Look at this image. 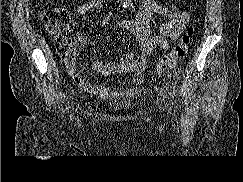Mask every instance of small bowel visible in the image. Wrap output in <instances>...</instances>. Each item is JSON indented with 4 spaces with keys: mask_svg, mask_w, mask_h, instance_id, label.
Here are the masks:
<instances>
[{
    "mask_svg": "<svg viewBox=\"0 0 243 182\" xmlns=\"http://www.w3.org/2000/svg\"><path fill=\"white\" fill-rule=\"evenodd\" d=\"M101 8V0H87L77 7L80 15H87ZM168 16L169 19L162 22L158 27V33L152 31L150 20L153 15ZM189 14L187 12H178L167 6L161 5L156 0H144L139 8L134 20H121L118 26L131 32L137 39L140 47L138 55L129 52L119 61L103 63L95 60L92 64L94 70L104 76L114 74H131L132 86L122 91H111L110 88L99 80H90L84 77L76 67L75 54L88 43V38L80 36L75 41L76 52L71 58L65 59V67L68 74L75 83L83 90L98 95L101 99L116 101L125 97L134 96L143 84V73L147 68L146 57L156 48L168 49L174 41L183 32Z\"/></svg>",
    "mask_w": 243,
    "mask_h": 182,
    "instance_id": "1",
    "label": "small bowel"
}]
</instances>
